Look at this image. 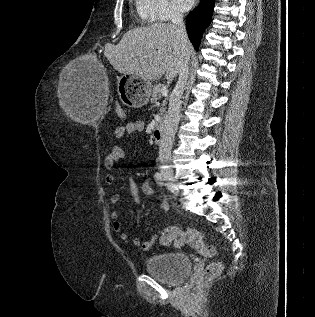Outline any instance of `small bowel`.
Masks as SVG:
<instances>
[{"label":"small bowel","instance_id":"1","mask_svg":"<svg viewBox=\"0 0 315 317\" xmlns=\"http://www.w3.org/2000/svg\"><path fill=\"white\" fill-rule=\"evenodd\" d=\"M145 129V123L140 120H133L127 122L125 125L117 127L115 130V137L116 138H123L127 135L142 132ZM126 156L125 149L121 146H114L109 155L104 160V167L108 171L105 181L107 185H112L115 182L116 176L115 173L112 171L114 166L122 161ZM125 189L129 191V193L133 197V201L136 205L141 204V198L139 196V188L137 183L132 177H128L126 179V187ZM141 191L145 195H153L154 194V184L150 180H146L142 186ZM111 203L118 204L121 201V196L118 193H114L111 195ZM160 207L165 212L169 211L170 206L166 200H162L160 202ZM112 218V229L119 235V238L123 241L129 239V233L123 229L122 223L119 220V213L118 211L114 210L111 213ZM157 235L153 234L149 239L142 240L138 237L132 238V244L140 247L143 250H149L152 245L156 242Z\"/></svg>","mask_w":315,"mask_h":317}]
</instances>
